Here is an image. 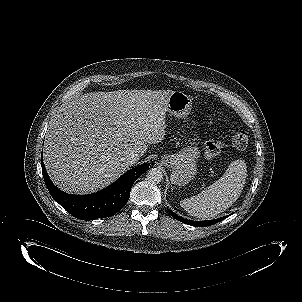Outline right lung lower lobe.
Instances as JSON below:
<instances>
[{"mask_svg":"<svg viewBox=\"0 0 302 302\" xmlns=\"http://www.w3.org/2000/svg\"><path fill=\"white\" fill-rule=\"evenodd\" d=\"M44 181L52 195L72 216L81 220L109 217L119 212L127 203L130 190L136 179L149 169L144 163L122 175L107 188L89 195H70L59 190L50 180L41 156Z\"/></svg>","mask_w":302,"mask_h":302,"instance_id":"98d812e1","label":"right lung lower lobe"}]
</instances>
